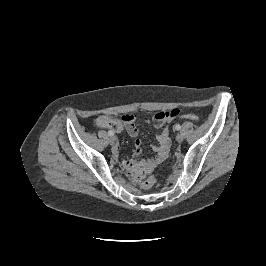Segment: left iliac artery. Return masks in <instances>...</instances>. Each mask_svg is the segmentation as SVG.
Here are the masks:
<instances>
[{
    "mask_svg": "<svg viewBox=\"0 0 266 266\" xmlns=\"http://www.w3.org/2000/svg\"><path fill=\"white\" fill-rule=\"evenodd\" d=\"M175 129H176V130H180V129H181V126H180L179 124H176V125H175Z\"/></svg>",
    "mask_w": 266,
    "mask_h": 266,
    "instance_id": "1",
    "label": "left iliac artery"
}]
</instances>
